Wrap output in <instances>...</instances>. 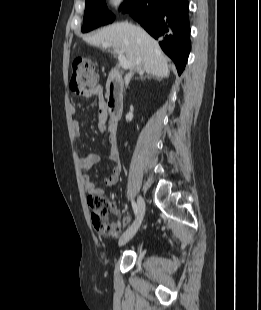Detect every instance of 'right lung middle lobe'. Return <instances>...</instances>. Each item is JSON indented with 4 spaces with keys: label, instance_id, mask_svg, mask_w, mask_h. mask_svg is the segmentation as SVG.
<instances>
[{
    "label": "right lung middle lobe",
    "instance_id": "obj_1",
    "mask_svg": "<svg viewBox=\"0 0 261 310\" xmlns=\"http://www.w3.org/2000/svg\"><path fill=\"white\" fill-rule=\"evenodd\" d=\"M128 1L125 0V2ZM113 20L114 16L108 11L105 0H86L82 32H88L101 25L111 23Z\"/></svg>",
    "mask_w": 261,
    "mask_h": 310
}]
</instances>
